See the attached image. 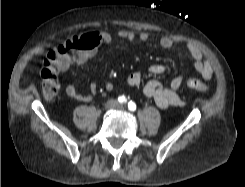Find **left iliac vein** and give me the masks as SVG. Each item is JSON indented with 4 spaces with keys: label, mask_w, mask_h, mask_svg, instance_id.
I'll use <instances>...</instances> for the list:
<instances>
[{
    "label": "left iliac vein",
    "mask_w": 245,
    "mask_h": 187,
    "mask_svg": "<svg viewBox=\"0 0 245 187\" xmlns=\"http://www.w3.org/2000/svg\"><path fill=\"white\" fill-rule=\"evenodd\" d=\"M124 106L122 104H117L116 109L117 110H123Z\"/></svg>",
    "instance_id": "obj_1"
}]
</instances>
